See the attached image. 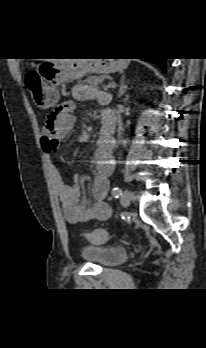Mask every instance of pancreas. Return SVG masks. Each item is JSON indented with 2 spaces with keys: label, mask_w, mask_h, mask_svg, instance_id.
Wrapping results in <instances>:
<instances>
[{
  "label": "pancreas",
  "mask_w": 206,
  "mask_h": 348,
  "mask_svg": "<svg viewBox=\"0 0 206 348\" xmlns=\"http://www.w3.org/2000/svg\"><path fill=\"white\" fill-rule=\"evenodd\" d=\"M107 79L106 75H98V76H89L87 77L83 82L86 84H89L92 87H103L106 89L105 85L103 84L104 80Z\"/></svg>",
  "instance_id": "pancreas-1"
}]
</instances>
